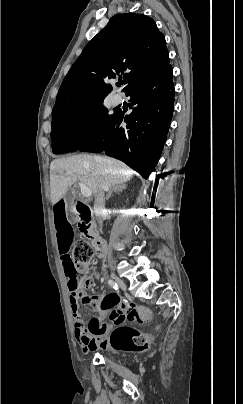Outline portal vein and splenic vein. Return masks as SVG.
Returning <instances> with one entry per match:
<instances>
[{"instance_id": "obj_1", "label": "portal vein and splenic vein", "mask_w": 243, "mask_h": 404, "mask_svg": "<svg viewBox=\"0 0 243 404\" xmlns=\"http://www.w3.org/2000/svg\"><path fill=\"white\" fill-rule=\"evenodd\" d=\"M79 186L81 188L82 196H84V198H89V196L92 194L90 188H87V186H84V184H79Z\"/></svg>"}]
</instances>
